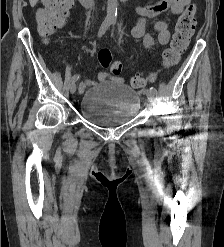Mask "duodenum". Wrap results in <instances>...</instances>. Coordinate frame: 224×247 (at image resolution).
<instances>
[{
    "label": "duodenum",
    "mask_w": 224,
    "mask_h": 247,
    "mask_svg": "<svg viewBox=\"0 0 224 247\" xmlns=\"http://www.w3.org/2000/svg\"><path fill=\"white\" fill-rule=\"evenodd\" d=\"M79 2L83 7L89 8L92 5L93 0H79Z\"/></svg>",
    "instance_id": "1"
}]
</instances>
